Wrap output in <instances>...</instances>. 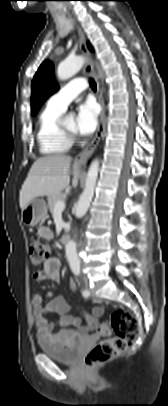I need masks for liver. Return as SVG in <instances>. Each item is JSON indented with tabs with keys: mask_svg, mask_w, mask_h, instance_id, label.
<instances>
[{
	"mask_svg": "<svg viewBox=\"0 0 168 406\" xmlns=\"http://www.w3.org/2000/svg\"><path fill=\"white\" fill-rule=\"evenodd\" d=\"M71 157L48 155L38 158L30 168L20 190L19 204L23 210L34 198L53 197L62 192L70 182ZM80 170L77 164L72 168V186L78 184Z\"/></svg>",
	"mask_w": 168,
	"mask_h": 406,
	"instance_id": "1",
	"label": "liver"
}]
</instances>
